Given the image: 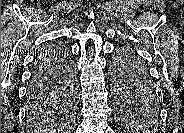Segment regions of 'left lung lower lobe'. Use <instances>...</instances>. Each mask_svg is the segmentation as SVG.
I'll return each mask as SVG.
<instances>
[{"mask_svg": "<svg viewBox=\"0 0 184 133\" xmlns=\"http://www.w3.org/2000/svg\"><path fill=\"white\" fill-rule=\"evenodd\" d=\"M134 87H135L136 92H138V94L143 95V96L149 95L153 92V90L149 86L145 85L142 82L136 83Z\"/></svg>", "mask_w": 184, "mask_h": 133, "instance_id": "left-lung-lower-lobe-1", "label": "left lung lower lobe"}]
</instances>
